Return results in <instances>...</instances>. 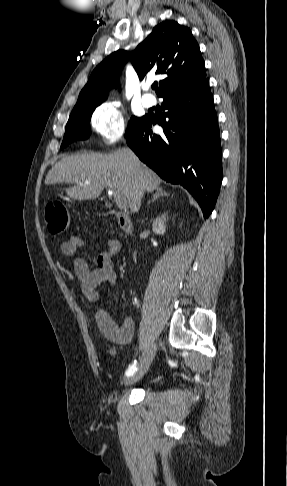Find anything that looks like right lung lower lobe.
Segmentation results:
<instances>
[{
	"instance_id": "1",
	"label": "right lung lower lobe",
	"mask_w": 287,
	"mask_h": 486,
	"mask_svg": "<svg viewBox=\"0 0 287 486\" xmlns=\"http://www.w3.org/2000/svg\"><path fill=\"white\" fill-rule=\"evenodd\" d=\"M160 97L164 119L145 115L126 137L127 144L161 178L186 188L208 218L222 181L220 133L209 79ZM156 123L164 134H153L151 126Z\"/></svg>"
}]
</instances>
